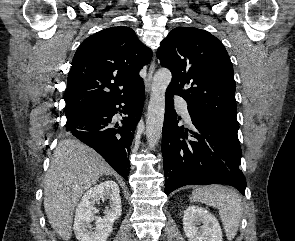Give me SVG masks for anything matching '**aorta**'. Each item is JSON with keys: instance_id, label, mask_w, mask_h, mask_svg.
<instances>
[{"instance_id": "1", "label": "aorta", "mask_w": 295, "mask_h": 241, "mask_svg": "<svg viewBox=\"0 0 295 241\" xmlns=\"http://www.w3.org/2000/svg\"><path fill=\"white\" fill-rule=\"evenodd\" d=\"M172 79L170 70L159 69L152 79L150 101L146 119V136L149 148H155L161 138L165 114V93Z\"/></svg>"}]
</instances>
